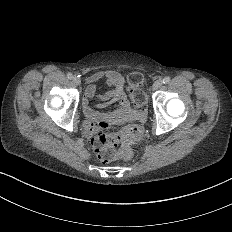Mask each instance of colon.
<instances>
[{
	"label": "colon",
	"instance_id": "obj_1",
	"mask_svg": "<svg viewBox=\"0 0 232 232\" xmlns=\"http://www.w3.org/2000/svg\"><path fill=\"white\" fill-rule=\"evenodd\" d=\"M145 71H132L127 79L128 95L133 97V111L137 115H144L148 111V104L143 86ZM142 136V129L138 125H131L127 130H119L116 133L106 134L97 132L92 139V146L96 152V158L100 162L113 161L122 146H128L132 141H137Z\"/></svg>",
	"mask_w": 232,
	"mask_h": 232
}]
</instances>
